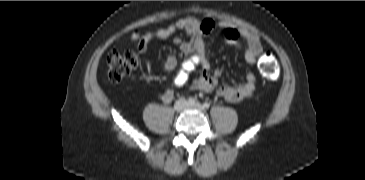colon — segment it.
<instances>
[{
  "mask_svg": "<svg viewBox=\"0 0 365 180\" xmlns=\"http://www.w3.org/2000/svg\"><path fill=\"white\" fill-rule=\"evenodd\" d=\"M133 38H137V33L133 34ZM139 63V55L133 49L112 51L108 56V77L110 81L114 83L122 81L138 67ZM259 69L267 80L275 81L279 77L277 58L270 52H266L261 56Z\"/></svg>",
  "mask_w": 365,
  "mask_h": 180,
  "instance_id": "5ec220e1",
  "label": "colon"
}]
</instances>
